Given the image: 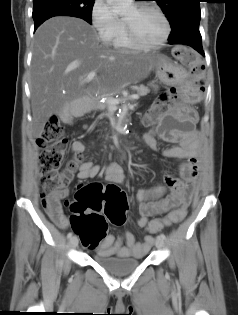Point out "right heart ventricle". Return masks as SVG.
<instances>
[{
	"label": "right heart ventricle",
	"instance_id": "e07e8e85",
	"mask_svg": "<svg viewBox=\"0 0 238 315\" xmlns=\"http://www.w3.org/2000/svg\"><path fill=\"white\" fill-rule=\"evenodd\" d=\"M120 26L113 36V38L109 41L110 45L114 47L115 49L122 51V52H129L132 50H135L128 41L127 35H126V29L125 24L123 20H120Z\"/></svg>",
	"mask_w": 238,
	"mask_h": 315
}]
</instances>
